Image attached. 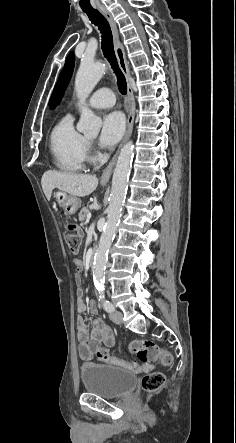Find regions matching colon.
Returning <instances> with one entry per match:
<instances>
[{
  "label": "colon",
  "mask_w": 236,
  "mask_h": 443,
  "mask_svg": "<svg viewBox=\"0 0 236 443\" xmlns=\"http://www.w3.org/2000/svg\"><path fill=\"white\" fill-rule=\"evenodd\" d=\"M65 229V242L71 253L78 252L81 244V234L78 226L71 221L64 224ZM80 271L76 269L75 278L79 277ZM129 351L133 354L141 363L142 367H139L137 363L130 360H125L120 357L111 356L108 349L105 347L95 348L96 356L99 360L109 363L111 365L121 367L129 370H149L153 363L159 361L165 366H171L173 363L172 354L160 348L156 343L147 339H135L128 345ZM87 354V353H85ZM165 383V375L163 372L157 371L148 373L143 377L142 387L148 392H154L159 390Z\"/></svg>",
  "instance_id": "obj_1"
}]
</instances>
